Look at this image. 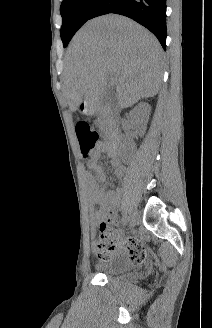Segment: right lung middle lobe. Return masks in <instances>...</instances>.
Wrapping results in <instances>:
<instances>
[{
  "label": "right lung middle lobe",
  "instance_id": "dd1d6c3e",
  "mask_svg": "<svg viewBox=\"0 0 212 328\" xmlns=\"http://www.w3.org/2000/svg\"><path fill=\"white\" fill-rule=\"evenodd\" d=\"M100 0H63L60 7L62 16L61 39L66 47L76 31L90 19Z\"/></svg>",
  "mask_w": 212,
  "mask_h": 328
}]
</instances>
